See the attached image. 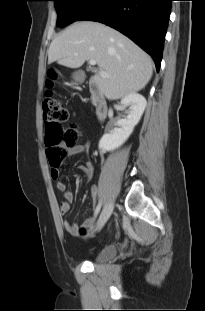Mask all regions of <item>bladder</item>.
I'll list each match as a JSON object with an SVG mask.
<instances>
[{
    "label": "bladder",
    "instance_id": "31cf9c89",
    "mask_svg": "<svg viewBox=\"0 0 205 311\" xmlns=\"http://www.w3.org/2000/svg\"><path fill=\"white\" fill-rule=\"evenodd\" d=\"M119 247L117 245H107L101 248L93 255V260L96 262H106L113 260L117 253Z\"/></svg>",
    "mask_w": 205,
    "mask_h": 311
}]
</instances>
